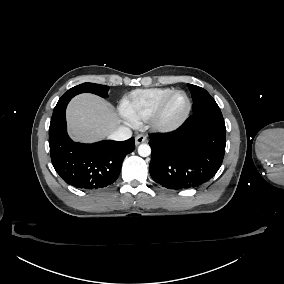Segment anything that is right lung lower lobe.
Returning a JSON list of instances; mask_svg holds the SVG:
<instances>
[{
    "label": "right lung lower lobe",
    "mask_w": 284,
    "mask_h": 284,
    "mask_svg": "<svg viewBox=\"0 0 284 284\" xmlns=\"http://www.w3.org/2000/svg\"><path fill=\"white\" fill-rule=\"evenodd\" d=\"M71 99L58 101L49 128L53 167L68 184L83 190H97L114 183L125 156L135 149L134 138L93 144L73 142L66 131V107Z\"/></svg>",
    "instance_id": "obj_1"
}]
</instances>
